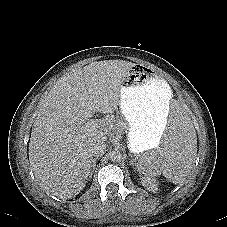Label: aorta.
<instances>
[{
    "instance_id": "obj_1",
    "label": "aorta",
    "mask_w": 227,
    "mask_h": 227,
    "mask_svg": "<svg viewBox=\"0 0 227 227\" xmlns=\"http://www.w3.org/2000/svg\"><path fill=\"white\" fill-rule=\"evenodd\" d=\"M121 159V153L119 151H112L110 153V160L112 162H118Z\"/></svg>"
}]
</instances>
